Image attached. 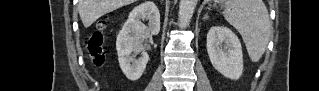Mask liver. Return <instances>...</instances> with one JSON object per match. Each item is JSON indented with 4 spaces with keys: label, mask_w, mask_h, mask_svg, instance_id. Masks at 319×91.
Returning <instances> with one entry per match:
<instances>
[{
    "label": "liver",
    "mask_w": 319,
    "mask_h": 91,
    "mask_svg": "<svg viewBox=\"0 0 319 91\" xmlns=\"http://www.w3.org/2000/svg\"><path fill=\"white\" fill-rule=\"evenodd\" d=\"M135 0H79L78 11L84 27H90L101 16Z\"/></svg>",
    "instance_id": "6515ba94"
}]
</instances>
